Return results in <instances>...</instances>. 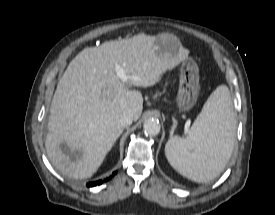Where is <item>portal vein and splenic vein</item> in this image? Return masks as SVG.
I'll list each match as a JSON object with an SVG mask.
<instances>
[{"instance_id":"1","label":"portal vein and splenic vein","mask_w":275,"mask_h":215,"mask_svg":"<svg viewBox=\"0 0 275 215\" xmlns=\"http://www.w3.org/2000/svg\"><path fill=\"white\" fill-rule=\"evenodd\" d=\"M115 71L117 76L121 79L122 82H127L129 76L126 74L124 69L120 65L115 66ZM185 132H188V126H185Z\"/></svg>"}]
</instances>
